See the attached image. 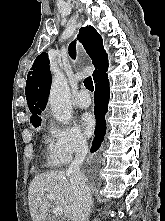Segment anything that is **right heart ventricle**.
Instances as JSON below:
<instances>
[{
	"label": "right heart ventricle",
	"mask_w": 165,
	"mask_h": 221,
	"mask_svg": "<svg viewBox=\"0 0 165 221\" xmlns=\"http://www.w3.org/2000/svg\"><path fill=\"white\" fill-rule=\"evenodd\" d=\"M50 162H51V164H53V165L62 164V163H60V162H58V161H55V160H53V159H50Z\"/></svg>",
	"instance_id": "obj_1"
}]
</instances>
